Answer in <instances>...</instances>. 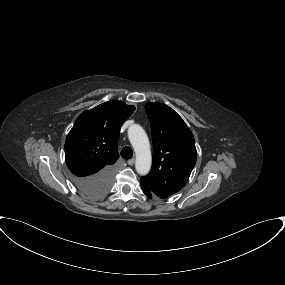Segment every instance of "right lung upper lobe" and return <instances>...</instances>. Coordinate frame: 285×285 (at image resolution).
Listing matches in <instances>:
<instances>
[{"instance_id":"1","label":"right lung upper lobe","mask_w":285,"mask_h":285,"mask_svg":"<svg viewBox=\"0 0 285 285\" xmlns=\"http://www.w3.org/2000/svg\"><path fill=\"white\" fill-rule=\"evenodd\" d=\"M134 110L122 101H108L76 119L65 141V161L75 176H92L116 163L120 128Z\"/></svg>"}]
</instances>
